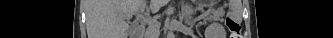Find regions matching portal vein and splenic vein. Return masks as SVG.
Wrapping results in <instances>:
<instances>
[{
  "mask_svg": "<svg viewBox=\"0 0 333 38\" xmlns=\"http://www.w3.org/2000/svg\"><path fill=\"white\" fill-rule=\"evenodd\" d=\"M141 13H143V11H144V6L143 7H141ZM142 17H144L143 15H141ZM144 19L149 23V25H153L154 23H156V22H152V20H151V17H144Z\"/></svg>",
  "mask_w": 333,
  "mask_h": 38,
  "instance_id": "1",
  "label": "portal vein and splenic vein"
}]
</instances>
